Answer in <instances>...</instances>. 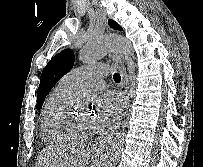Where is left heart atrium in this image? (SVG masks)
I'll list each match as a JSON object with an SVG mask.
<instances>
[{
	"instance_id": "1",
	"label": "left heart atrium",
	"mask_w": 203,
	"mask_h": 167,
	"mask_svg": "<svg viewBox=\"0 0 203 167\" xmlns=\"http://www.w3.org/2000/svg\"><path fill=\"white\" fill-rule=\"evenodd\" d=\"M122 109L120 96L113 91L101 94L98 100L97 114L93 118L94 127L103 129L109 126L118 116Z\"/></svg>"
}]
</instances>
